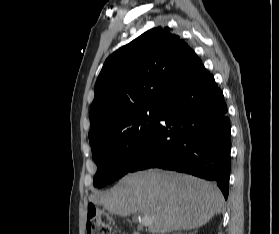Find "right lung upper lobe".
Here are the masks:
<instances>
[{"instance_id": "right-lung-upper-lobe-1", "label": "right lung upper lobe", "mask_w": 279, "mask_h": 234, "mask_svg": "<svg viewBox=\"0 0 279 234\" xmlns=\"http://www.w3.org/2000/svg\"><path fill=\"white\" fill-rule=\"evenodd\" d=\"M201 60L168 27H157L110 55L98 76L90 109V144L135 112L160 108L189 81Z\"/></svg>"}]
</instances>
